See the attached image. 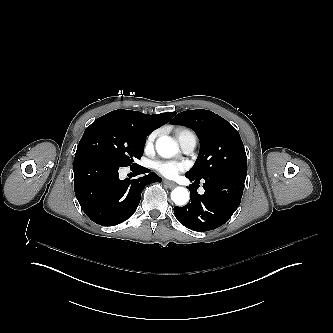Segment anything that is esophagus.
Segmentation results:
<instances>
[{
    "mask_svg": "<svg viewBox=\"0 0 333 333\" xmlns=\"http://www.w3.org/2000/svg\"><path fill=\"white\" fill-rule=\"evenodd\" d=\"M164 183L170 188H174L176 186V183L173 181H169V180H164Z\"/></svg>",
    "mask_w": 333,
    "mask_h": 333,
    "instance_id": "obj_1",
    "label": "esophagus"
}]
</instances>
